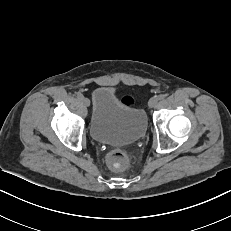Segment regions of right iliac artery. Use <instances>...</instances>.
Returning a JSON list of instances; mask_svg holds the SVG:
<instances>
[{"instance_id":"obj_1","label":"right iliac artery","mask_w":231,"mask_h":231,"mask_svg":"<svg viewBox=\"0 0 231 231\" xmlns=\"http://www.w3.org/2000/svg\"><path fill=\"white\" fill-rule=\"evenodd\" d=\"M77 98L80 99V100H82V99L84 98V96H83V94L78 93V94H77Z\"/></svg>"}]
</instances>
